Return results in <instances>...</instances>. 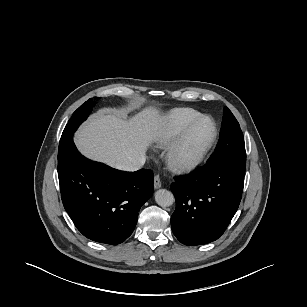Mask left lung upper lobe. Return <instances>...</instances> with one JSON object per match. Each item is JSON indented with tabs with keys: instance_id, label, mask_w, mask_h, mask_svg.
<instances>
[{
	"instance_id": "obj_1",
	"label": "left lung upper lobe",
	"mask_w": 307,
	"mask_h": 307,
	"mask_svg": "<svg viewBox=\"0 0 307 307\" xmlns=\"http://www.w3.org/2000/svg\"><path fill=\"white\" fill-rule=\"evenodd\" d=\"M224 162L246 170V152L243 133L231 111L224 107L220 139L207 164Z\"/></svg>"
}]
</instances>
